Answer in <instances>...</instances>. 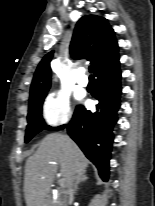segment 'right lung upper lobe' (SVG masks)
I'll list each match as a JSON object with an SVG mask.
<instances>
[{"mask_svg": "<svg viewBox=\"0 0 155 206\" xmlns=\"http://www.w3.org/2000/svg\"><path fill=\"white\" fill-rule=\"evenodd\" d=\"M70 52L75 59L90 60L96 76L119 58L113 29L105 18L95 15H86L77 22ZM52 57L53 51L48 53L38 65L31 84L30 97L50 88Z\"/></svg>", "mask_w": 155, "mask_h": 206, "instance_id": "cb5924a9", "label": "right lung upper lobe"}]
</instances>
